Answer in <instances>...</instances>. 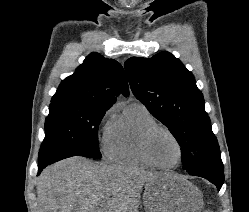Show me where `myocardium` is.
I'll use <instances>...</instances> for the list:
<instances>
[{"label":"myocardium","instance_id":"myocardium-1","mask_svg":"<svg viewBox=\"0 0 249 212\" xmlns=\"http://www.w3.org/2000/svg\"><path fill=\"white\" fill-rule=\"evenodd\" d=\"M159 133H165L169 135L176 143L178 150H179V159L178 161L173 165H165L158 162L153 153H152V141L155 138V136ZM142 151L145 156V158L154 166L160 169H175L182 163L184 159V148L182 143L180 142L179 138L167 127L161 126V125H153L146 129L142 136L141 141Z\"/></svg>","mask_w":249,"mask_h":212}]
</instances>
